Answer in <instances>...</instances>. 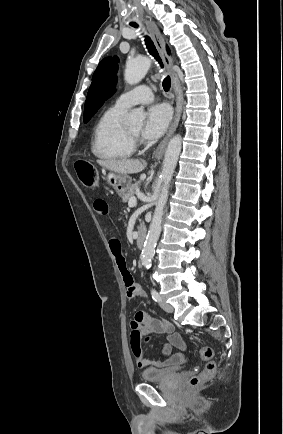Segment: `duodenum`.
Wrapping results in <instances>:
<instances>
[{"mask_svg": "<svg viewBox=\"0 0 283 434\" xmlns=\"http://www.w3.org/2000/svg\"><path fill=\"white\" fill-rule=\"evenodd\" d=\"M145 239H146V231L144 227H140L136 237V245L138 248H142L144 246Z\"/></svg>", "mask_w": 283, "mask_h": 434, "instance_id": "obj_1", "label": "duodenum"}]
</instances>
